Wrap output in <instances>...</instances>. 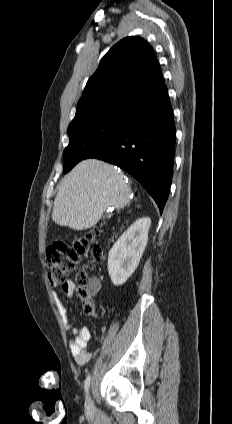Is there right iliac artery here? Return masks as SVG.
<instances>
[{"mask_svg":"<svg viewBox=\"0 0 232 424\" xmlns=\"http://www.w3.org/2000/svg\"><path fill=\"white\" fill-rule=\"evenodd\" d=\"M90 382H91V376H90V375H88V376H87V378H86V380H85V383H84V389H85V392H86V393H87V392H88V390H89Z\"/></svg>","mask_w":232,"mask_h":424,"instance_id":"right-iliac-artery-1","label":"right iliac artery"}]
</instances>
